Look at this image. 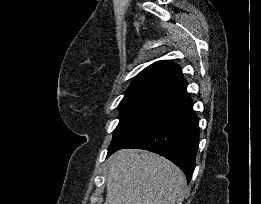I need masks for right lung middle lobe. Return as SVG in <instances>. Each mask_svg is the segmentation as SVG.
<instances>
[{"label": "right lung middle lobe", "instance_id": "dd1d6c3e", "mask_svg": "<svg viewBox=\"0 0 261 204\" xmlns=\"http://www.w3.org/2000/svg\"><path fill=\"white\" fill-rule=\"evenodd\" d=\"M167 97V94L152 92L125 95L119 104L120 121L114 130L113 139L108 149L120 141Z\"/></svg>", "mask_w": 261, "mask_h": 204}]
</instances>
